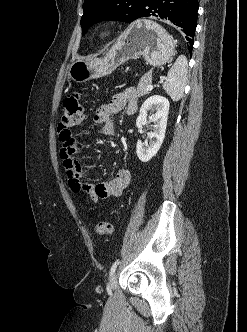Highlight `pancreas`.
<instances>
[{
  "label": "pancreas",
  "mask_w": 247,
  "mask_h": 332,
  "mask_svg": "<svg viewBox=\"0 0 247 332\" xmlns=\"http://www.w3.org/2000/svg\"><path fill=\"white\" fill-rule=\"evenodd\" d=\"M151 80L152 76L149 73L141 77L136 90V97H142L148 94L147 86L151 83Z\"/></svg>",
  "instance_id": "cf45deb5"
}]
</instances>
